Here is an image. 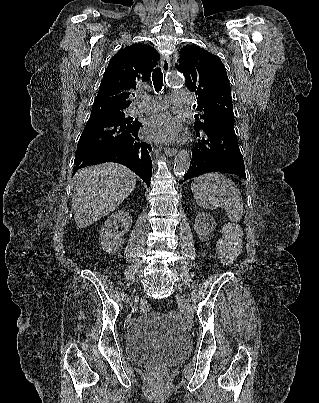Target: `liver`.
Here are the masks:
<instances>
[{"label": "liver", "mask_w": 319, "mask_h": 403, "mask_svg": "<svg viewBox=\"0 0 319 403\" xmlns=\"http://www.w3.org/2000/svg\"><path fill=\"white\" fill-rule=\"evenodd\" d=\"M135 185L136 175L119 164L105 163L79 170L71 205L77 227L85 228L113 212Z\"/></svg>", "instance_id": "6515ba94"}]
</instances>
